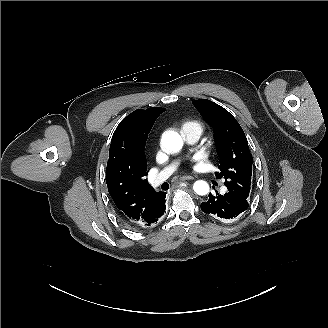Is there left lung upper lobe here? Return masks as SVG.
Returning a JSON list of instances; mask_svg holds the SVG:
<instances>
[{"label":"left lung upper lobe","instance_id":"5c2ea615","mask_svg":"<svg viewBox=\"0 0 328 328\" xmlns=\"http://www.w3.org/2000/svg\"><path fill=\"white\" fill-rule=\"evenodd\" d=\"M193 104L214 130L220 157V173H216V178L223 177L228 191L247 199L253 158L241 126L225 108L210 100H195Z\"/></svg>","mask_w":328,"mask_h":328}]
</instances>
